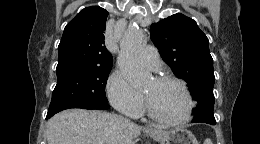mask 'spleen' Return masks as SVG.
<instances>
[{
    "label": "spleen",
    "instance_id": "3e777b00",
    "mask_svg": "<svg viewBox=\"0 0 260 144\" xmlns=\"http://www.w3.org/2000/svg\"><path fill=\"white\" fill-rule=\"evenodd\" d=\"M204 144H213V143H212V141H211L210 139H206V140L204 141Z\"/></svg>",
    "mask_w": 260,
    "mask_h": 144
}]
</instances>
